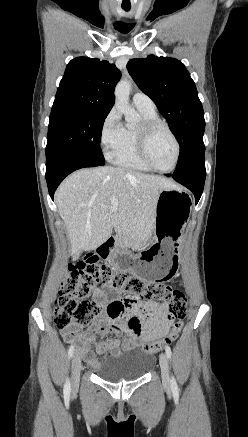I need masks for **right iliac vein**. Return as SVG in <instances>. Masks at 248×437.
<instances>
[{
  "label": "right iliac vein",
  "instance_id": "63e3f726",
  "mask_svg": "<svg viewBox=\"0 0 248 437\" xmlns=\"http://www.w3.org/2000/svg\"><path fill=\"white\" fill-rule=\"evenodd\" d=\"M81 367V353L76 351L72 358L71 383L73 388L77 387L79 384Z\"/></svg>",
  "mask_w": 248,
  "mask_h": 437
}]
</instances>
